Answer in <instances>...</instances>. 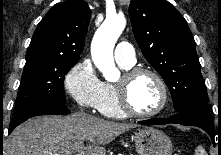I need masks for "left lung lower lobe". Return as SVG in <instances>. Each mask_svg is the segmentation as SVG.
<instances>
[{"mask_svg":"<svg viewBox=\"0 0 221 155\" xmlns=\"http://www.w3.org/2000/svg\"><path fill=\"white\" fill-rule=\"evenodd\" d=\"M142 125H163L169 123L197 126L206 131L214 142V121L209 113L207 101H200L190 104L177 114L168 118H153L139 121Z\"/></svg>","mask_w":221,"mask_h":155,"instance_id":"left-lung-lower-lobe-1","label":"left lung lower lobe"}]
</instances>
